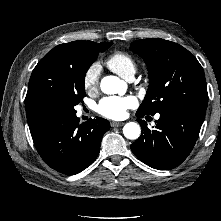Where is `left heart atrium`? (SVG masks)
I'll return each instance as SVG.
<instances>
[{
    "instance_id": "39dd6f15",
    "label": "left heart atrium",
    "mask_w": 221,
    "mask_h": 221,
    "mask_svg": "<svg viewBox=\"0 0 221 221\" xmlns=\"http://www.w3.org/2000/svg\"><path fill=\"white\" fill-rule=\"evenodd\" d=\"M137 104L133 96H108L103 98L96 106V111L109 119H122L127 115V110Z\"/></svg>"
}]
</instances>
